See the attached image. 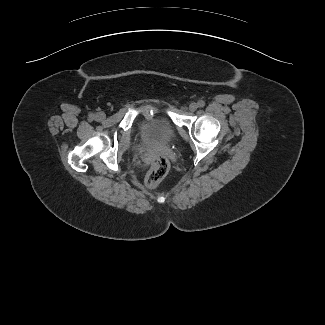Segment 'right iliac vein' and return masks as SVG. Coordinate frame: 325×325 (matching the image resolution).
<instances>
[{
    "instance_id": "obj_1",
    "label": "right iliac vein",
    "mask_w": 325,
    "mask_h": 325,
    "mask_svg": "<svg viewBox=\"0 0 325 325\" xmlns=\"http://www.w3.org/2000/svg\"><path fill=\"white\" fill-rule=\"evenodd\" d=\"M99 120H103L105 118V115L102 114V113H99L97 116H96Z\"/></svg>"
}]
</instances>
